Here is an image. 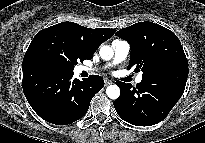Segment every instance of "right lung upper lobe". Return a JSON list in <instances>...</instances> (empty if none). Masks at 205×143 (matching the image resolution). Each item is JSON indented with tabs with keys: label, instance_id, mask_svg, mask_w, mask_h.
<instances>
[{
	"label": "right lung upper lobe",
	"instance_id": "1",
	"mask_svg": "<svg viewBox=\"0 0 205 143\" xmlns=\"http://www.w3.org/2000/svg\"><path fill=\"white\" fill-rule=\"evenodd\" d=\"M54 26L63 28L70 33L91 58L96 49L116 32L109 28L90 29L74 22H62Z\"/></svg>",
	"mask_w": 205,
	"mask_h": 143
}]
</instances>
